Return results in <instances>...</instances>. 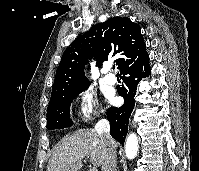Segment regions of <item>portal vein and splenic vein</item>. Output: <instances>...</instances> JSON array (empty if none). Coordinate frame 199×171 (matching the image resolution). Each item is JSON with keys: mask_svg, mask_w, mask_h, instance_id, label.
Returning <instances> with one entry per match:
<instances>
[{"mask_svg": "<svg viewBox=\"0 0 199 171\" xmlns=\"http://www.w3.org/2000/svg\"><path fill=\"white\" fill-rule=\"evenodd\" d=\"M89 171H98L96 167L91 168Z\"/></svg>", "mask_w": 199, "mask_h": 171, "instance_id": "1", "label": "portal vein and splenic vein"}]
</instances>
